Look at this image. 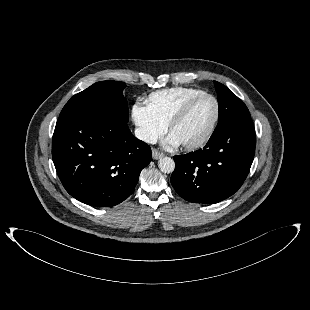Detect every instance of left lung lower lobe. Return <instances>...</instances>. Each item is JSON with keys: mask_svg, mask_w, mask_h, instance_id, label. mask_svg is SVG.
<instances>
[{"mask_svg": "<svg viewBox=\"0 0 310 310\" xmlns=\"http://www.w3.org/2000/svg\"><path fill=\"white\" fill-rule=\"evenodd\" d=\"M250 117L210 137L203 149L174 156L171 183L185 200L217 203L234 194L246 179L255 152Z\"/></svg>", "mask_w": 310, "mask_h": 310, "instance_id": "left-lung-lower-lobe-1", "label": "left lung lower lobe"}]
</instances>
